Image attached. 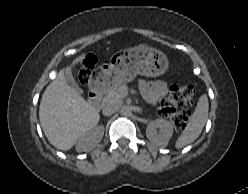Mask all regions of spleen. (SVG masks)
I'll list each match as a JSON object with an SVG mask.
<instances>
[{
    "label": "spleen",
    "instance_id": "spleen-1",
    "mask_svg": "<svg viewBox=\"0 0 248 194\" xmlns=\"http://www.w3.org/2000/svg\"><path fill=\"white\" fill-rule=\"evenodd\" d=\"M208 111V97L206 94H202L186 128L176 141V148H183L184 146L194 142L199 137L207 121Z\"/></svg>",
    "mask_w": 248,
    "mask_h": 194
}]
</instances>
